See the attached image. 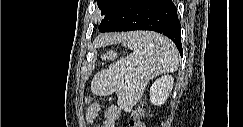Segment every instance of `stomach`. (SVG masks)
Returning a JSON list of instances; mask_svg holds the SVG:
<instances>
[{"mask_svg": "<svg viewBox=\"0 0 243 127\" xmlns=\"http://www.w3.org/2000/svg\"><path fill=\"white\" fill-rule=\"evenodd\" d=\"M115 58H117V53L114 51H109L104 55V59L114 60Z\"/></svg>", "mask_w": 243, "mask_h": 127, "instance_id": "1", "label": "stomach"}]
</instances>
